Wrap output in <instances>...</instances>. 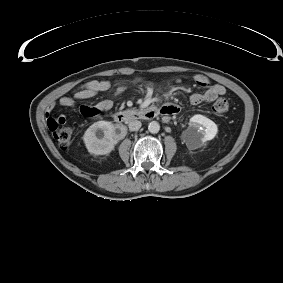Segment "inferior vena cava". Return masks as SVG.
<instances>
[{
    "label": "inferior vena cava",
    "instance_id": "1",
    "mask_svg": "<svg viewBox=\"0 0 283 283\" xmlns=\"http://www.w3.org/2000/svg\"><path fill=\"white\" fill-rule=\"evenodd\" d=\"M141 125L142 124L140 121L134 120V121H131L128 126H129L130 131H137L141 128Z\"/></svg>",
    "mask_w": 283,
    "mask_h": 283
}]
</instances>
